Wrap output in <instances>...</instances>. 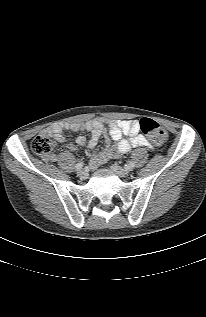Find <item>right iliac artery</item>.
I'll list each match as a JSON object with an SVG mask.
<instances>
[{
  "label": "right iliac artery",
  "mask_w": 206,
  "mask_h": 317,
  "mask_svg": "<svg viewBox=\"0 0 206 317\" xmlns=\"http://www.w3.org/2000/svg\"><path fill=\"white\" fill-rule=\"evenodd\" d=\"M83 166H84V163H83V162H78V163L75 165V168H76V170H79V169H81Z\"/></svg>",
  "instance_id": "obj_1"
}]
</instances>
